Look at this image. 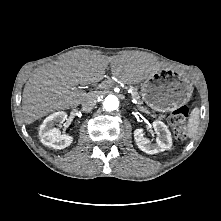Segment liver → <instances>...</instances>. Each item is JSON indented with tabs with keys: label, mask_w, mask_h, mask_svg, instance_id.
I'll list each match as a JSON object with an SVG mask.
<instances>
[{
	"label": "liver",
	"mask_w": 221,
	"mask_h": 221,
	"mask_svg": "<svg viewBox=\"0 0 221 221\" xmlns=\"http://www.w3.org/2000/svg\"><path fill=\"white\" fill-rule=\"evenodd\" d=\"M109 64L112 75L125 84H137L159 70L152 59L136 53L108 57L85 49L70 51L30 74L22 95L23 121L31 124L50 112L79 106L96 93L77 86L101 81Z\"/></svg>",
	"instance_id": "6515ba94"
}]
</instances>
